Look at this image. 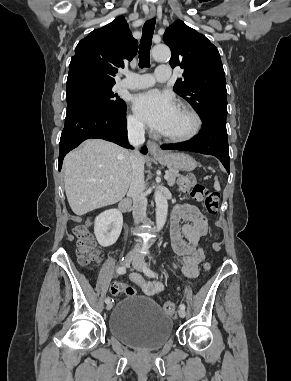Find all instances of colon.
Listing matches in <instances>:
<instances>
[{
    "instance_id": "obj_1",
    "label": "colon",
    "mask_w": 291,
    "mask_h": 381,
    "mask_svg": "<svg viewBox=\"0 0 291 381\" xmlns=\"http://www.w3.org/2000/svg\"><path fill=\"white\" fill-rule=\"evenodd\" d=\"M178 189L185 195L190 196L193 200L203 202L206 211L215 215L219 208V196L216 192L209 191L205 186L195 182L192 178H185L179 181ZM74 235L76 237V254L80 264L90 266L99 261V252L97 250L95 241L89 230L88 225H77L74 228ZM218 237V232L212 230L210 232L211 240ZM208 265H205V269ZM111 292L114 295L125 294L127 296H134L136 291L133 287L126 286L122 283L116 282L111 285ZM164 313L173 315L176 311V305L172 301H167L163 305Z\"/></svg>"
}]
</instances>
